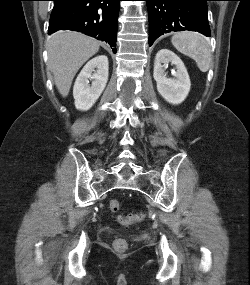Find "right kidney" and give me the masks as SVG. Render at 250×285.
<instances>
[{
  "mask_svg": "<svg viewBox=\"0 0 250 285\" xmlns=\"http://www.w3.org/2000/svg\"><path fill=\"white\" fill-rule=\"evenodd\" d=\"M108 69V58L105 55L91 59L83 67L73 87L75 107L78 110H89L100 97L108 81Z\"/></svg>",
  "mask_w": 250,
  "mask_h": 285,
  "instance_id": "obj_1",
  "label": "right kidney"
}]
</instances>
